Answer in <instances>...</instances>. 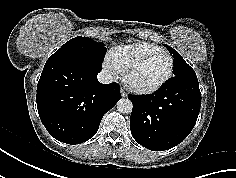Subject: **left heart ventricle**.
I'll return each instance as SVG.
<instances>
[{
  "label": "left heart ventricle",
  "mask_w": 236,
  "mask_h": 178,
  "mask_svg": "<svg viewBox=\"0 0 236 178\" xmlns=\"http://www.w3.org/2000/svg\"><path fill=\"white\" fill-rule=\"evenodd\" d=\"M170 59L167 55H157L145 61L132 75V80L142 86L159 82L167 73Z\"/></svg>",
  "instance_id": "left-heart-ventricle-1"
}]
</instances>
